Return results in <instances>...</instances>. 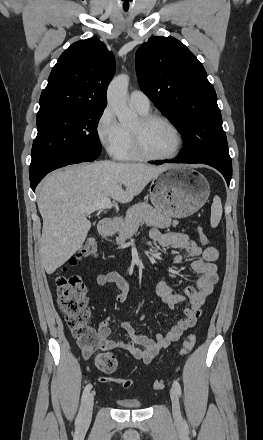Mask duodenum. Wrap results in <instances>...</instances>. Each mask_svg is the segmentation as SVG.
I'll list each match as a JSON object with an SVG mask.
<instances>
[{"label":"duodenum","mask_w":263,"mask_h":440,"mask_svg":"<svg viewBox=\"0 0 263 440\" xmlns=\"http://www.w3.org/2000/svg\"><path fill=\"white\" fill-rule=\"evenodd\" d=\"M111 224H112V219L110 217H105L101 219L99 223V232L105 236H108Z\"/></svg>","instance_id":"duodenum-1"}]
</instances>
